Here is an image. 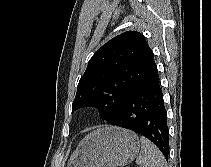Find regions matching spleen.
Returning <instances> with one entry per match:
<instances>
[{
	"mask_svg": "<svg viewBox=\"0 0 211 167\" xmlns=\"http://www.w3.org/2000/svg\"><path fill=\"white\" fill-rule=\"evenodd\" d=\"M141 151L136 159L140 167H167L166 160L160 150L147 138L141 137Z\"/></svg>",
	"mask_w": 211,
	"mask_h": 167,
	"instance_id": "1",
	"label": "spleen"
}]
</instances>
